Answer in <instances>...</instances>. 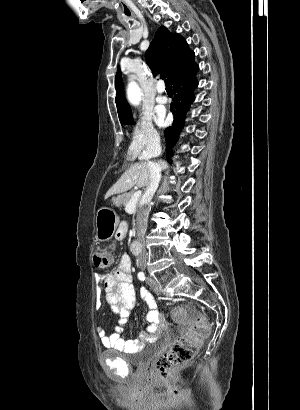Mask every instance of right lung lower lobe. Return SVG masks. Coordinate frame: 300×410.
<instances>
[{
	"label": "right lung lower lobe",
	"instance_id": "right-lung-lower-lobe-1",
	"mask_svg": "<svg viewBox=\"0 0 300 410\" xmlns=\"http://www.w3.org/2000/svg\"><path fill=\"white\" fill-rule=\"evenodd\" d=\"M198 70L199 66L193 61L171 81L175 92L174 99L170 104L174 120L172 125L165 130L167 154H172V146L178 139L179 132L185 124V115L195 99L193 91L198 86L195 78ZM167 159L171 161L170 156H167Z\"/></svg>",
	"mask_w": 300,
	"mask_h": 410
}]
</instances>
